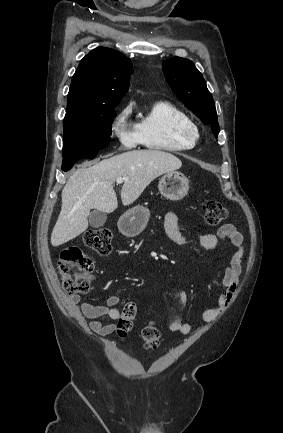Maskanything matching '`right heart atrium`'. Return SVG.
Returning a JSON list of instances; mask_svg holds the SVG:
<instances>
[{"label":"right heart atrium","mask_w":283,"mask_h":433,"mask_svg":"<svg viewBox=\"0 0 283 433\" xmlns=\"http://www.w3.org/2000/svg\"><path fill=\"white\" fill-rule=\"evenodd\" d=\"M132 111V105L126 104L111 119L110 129L118 152L131 150L142 142L137 125L130 121Z\"/></svg>","instance_id":"d8ad5b80"}]
</instances>
